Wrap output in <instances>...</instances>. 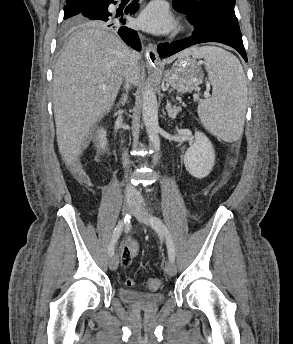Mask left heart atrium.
Segmentation results:
<instances>
[{
    "label": "left heart atrium",
    "mask_w": 293,
    "mask_h": 344,
    "mask_svg": "<svg viewBox=\"0 0 293 344\" xmlns=\"http://www.w3.org/2000/svg\"><path fill=\"white\" fill-rule=\"evenodd\" d=\"M139 25L154 33H165L173 26V20L165 6L160 2L149 5L138 20Z\"/></svg>",
    "instance_id": "obj_1"
}]
</instances>
